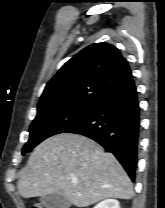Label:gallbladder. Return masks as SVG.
<instances>
[{
    "mask_svg": "<svg viewBox=\"0 0 165 208\" xmlns=\"http://www.w3.org/2000/svg\"><path fill=\"white\" fill-rule=\"evenodd\" d=\"M40 203L45 208H70L71 206V203L62 192H55L41 196Z\"/></svg>",
    "mask_w": 165,
    "mask_h": 208,
    "instance_id": "gallbladder-1",
    "label": "gallbladder"
}]
</instances>
